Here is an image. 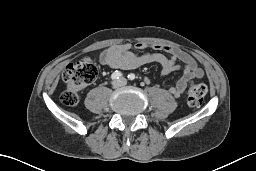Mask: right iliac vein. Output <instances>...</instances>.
I'll return each instance as SVG.
<instances>
[{
	"label": "right iliac vein",
	"mask_w": 256,
	"mask_h": 171,
	"mask_svg": "<svg viewBox=\"0 0 256 171\" xmlns=\"http://www.w3.org/2000/svg\"><path fill=\"white\" fill-rule=\"evenodd\" d=\"M120 85H121V82H120V81H114V82H113V87H114V88H118Z\"/></svg>",
	"instance_id": "63e3f726"
}]
</instances>
